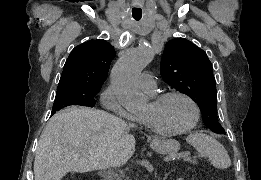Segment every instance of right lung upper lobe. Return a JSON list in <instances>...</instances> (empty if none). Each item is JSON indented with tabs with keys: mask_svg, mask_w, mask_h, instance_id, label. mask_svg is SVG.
Instances as JSON below:
<instances>
[{
	"mask_svg": "<svg viewBox=\"0 0 261 180\" xmlns=\"http://www.w3.org/2000/svg\"><path fill=\"white\" fill-rule=\"evenodd\" d=\"M115 54L114 47L105 40H90L78 45L64 65L58 87H101Z\"/></svg>",
	"mask_w": 261,
	"mask_h": 180,
	"instance_id": "cb5924a9",
	"label": "right lung upper lobe"
}]
</instances>
